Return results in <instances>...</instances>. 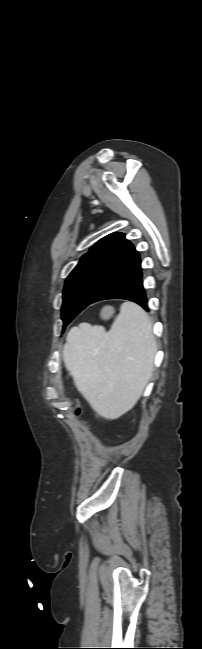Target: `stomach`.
<instances>
[{
  "instance_id": "0dacf381",
  "label": "stomach",
  "mask_w": 202,
  "mask_h": 649,
  "mask_svg": "<svg viewBox=\"0 0 202 649\" xmlns=\"http://www.w3.org/2000/svg\"><path fill=\"white\" fill-rule=\"evenodd\" d=\"M113 313H114V309L112 307H105L104 310L102 311V315L105 318L111 316Z\"/></svg>"
}]
</instances>
